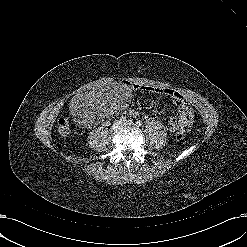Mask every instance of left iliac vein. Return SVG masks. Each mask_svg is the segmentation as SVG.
<instances>
[{
	"label": "left iliac vein",
	"instance_id": "obj_1",
	"mask_svg": "<svg viewBox=\"0 0 247 247\" xmlns=\"http://www.w3.org/2000/svg\"><path fill=\"white\" fill-rule=\"evenodd\" d=\"M123 125L124 126H126V125H133V122L132 121H127V122H124Z\"/></svg>",
	"mask_w": 247,
	"mask_h": 247
}]
</instances>
